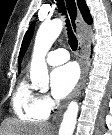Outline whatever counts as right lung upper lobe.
I'll use <instances>...</instances> for the list:
<instances>
[{
	"label": "right lung upper lobe",
	"instance_id": "cb5924a9",
	"mask_svg": "<svg viewBox=\"0 0 112 135\" xmlns=\"http://www.w3.org/2000/svg\"><path fill=\"white\" fill-rule=\"evenodd\" d=\"M77 4H78V7L83 15V18L84 20L88 23V24H91L92 23V18H91V15L89 13V9L86 5V2L85 0H77Z\"/></svg>",
	"mask_w": 112,
	"mask_h": 135
}]
</instances>
